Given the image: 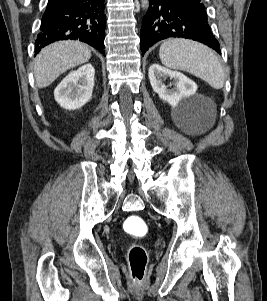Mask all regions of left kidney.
I'll list each match as a JSON object with an SVG mask.
<instances>
[{
    "label": "left kidney",
    "mask_w": 267,
    "mask_h": 301,
    "mask_svg": "<svg viewBox=\"0 0 267 301\" xmlns=\"http://www.w3.org/2000/svg\"><path fill=\"white\" fill-rule=\"evenodd\" d=\"M148 76L154 92L171 106H176L183 98L189 97L197 90L196 83L183 73L172 71L156 63L149 67ZM168 77L175 81L173 89H168L164 84Z\"/></svg>",
    "instance_id": "left-kidney-1"
}]
</instances>
